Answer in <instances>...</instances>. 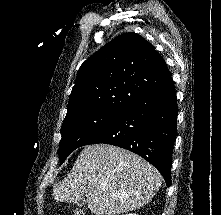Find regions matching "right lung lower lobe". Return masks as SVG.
I'll list each match as a JSON object with an SVG mask.
<instances>
[{"mask_svg":"<svg viewBox=\"0 0 221 215\" xmlns=\"http://www.w3.org/2000/svg\"><path fill=\"white\" fill-rule=\"evenodd\" d=\"M177 113L176 92L170 78L159 90L121 113L84 145L104 143L132 151L154 165L170 186Z\"/></svg>","mask_w":221,"mask_h":215,"instance_id":"right-lung-lower-lobe-1","label":"right lung lower lobe"}]
</instances>
